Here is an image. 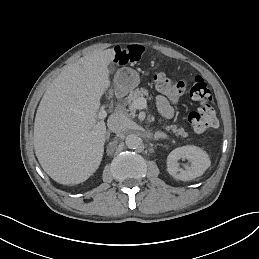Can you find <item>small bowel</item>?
Listing matches in <instances>:
<instances>
[{
	"mask_svg": "<svg viewBox=\"0 0 259 259\" xmlns=\"http://www.w3.org/2000/svg\"><path fill=\"white\" fill-rule=\"evenodd\" d=\"M143 52H144V48L139 44H131L127 46H116L113 49L114 61L119 64L137 62L138 60H140ZM156 102L160 113L165 118L173 117L174 109L172 108L171 104L165 97L158 96L156 99Z\"/></svg>",
	"mask_w": 259,
	"mask_h": 259,
	"instance_id": "small-bowel-1",
	"label": "small bowel"
}]
</instances>
